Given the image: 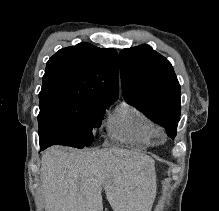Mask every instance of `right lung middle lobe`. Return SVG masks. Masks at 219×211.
<instances>
[{
	"mask_svg": "<svg viewBox=\"0 0 219 211\" xmlns=\"http://www.w3.org/2000/svg\"><path fill=\"white\" fill-rule=\"evenodd\" d=\"M41 143L83 148L90 146L92 130L99 128L111 103H97L63 95L39 96Z\"/></svg>",
	"mask_w": 219,
	"mask_h": 211,
	"instance_id": "dd1d6c3e",
	"label": "right lung middle lobe"
}]
</instances>
